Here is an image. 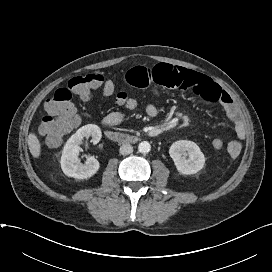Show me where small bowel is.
I'll list each match as a JSON object with an SVG mask.
<instances>
[{"label": "small bowel", "mask_w": 272, "mask_h": 272, "mask_svg": "<svg viewBox=\"0 0 272 272\" xmlns=\"http://www.w3.org/2000/svg\"><path fill=\"white\" fill-rule=\"evenodd\" d=\"M126 80L136 88H149L156 92L171 89L218 104L224 110L235 130V138L228 143L227 153L231 158H236L239 155L242 142L246 136V128L239 110L231 96L205 75L170 64H157L150 67L139 66L130 69L126 73ZM146 114L155 117L158 114L157 107L149 104L146 107ZM123 119V112L113 111L105 116L103 124L107 127H115Z\"/></svg>", "instance_id": "obj_1"}]
</instances>
